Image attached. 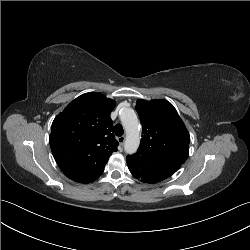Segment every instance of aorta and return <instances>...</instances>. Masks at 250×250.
<instances>
[{
  "label": "aorta",
  "instance_id": "aorta-1",
  "mask_svg": "<svg viewBox=\"0 0 250 250\" xmlns=\"http://www.w3.org/2000/svg\"><path fill=\"white\" fill-rule=\"evenodd\" d=\"M120 119L126 131L124 150L127 154H134L140 144V124L131 108H124L120 112Z\"/></svg>",
  "mask_w": 250,
  "mask_h": 250
}]
</instances>
